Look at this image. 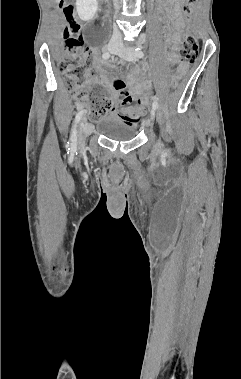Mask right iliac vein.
Instances as JSON below:
<instances>
[{
	"label": "right iliac vein",
	"mask_w": 241,
	"mask_h": 379,
	"mask_svg": "<svg viewBox=\"0 0 241 379\" xmlns=\"http://www.w3.org/2000/svg\"><path fill=\"white\" fill-rule=\"evenodd\" d=\"M108 50L111 53H116L119 50L118 43L111 42L108 44ZM91 131V127L88 124H84L83 122L80 123L79 131H78V143L80 145L84 144L87 136L89 135Z\"/></svg>",
	"instance_id": "right-iliac-vein-1"
}]
</instances>
